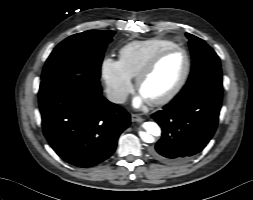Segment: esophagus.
<instances>
[{
  "instance_id": "34e87169",
  "label": "esophagus",
  "mask_w": 253,
  "mask_h": 200,
  "mask_svg": "<svg viewBox=\"0 0 253 200\" xmlns=\"http://www.w3.org/2000/svg\"><path fill=\"white\" fill-rule=\"evenodd\" d=\"M131 120L133 122L141 123V122H143L144 119L142 117H140L139 115H137V114H132L131 115Z\"/></svg>"
}]
</instances>
